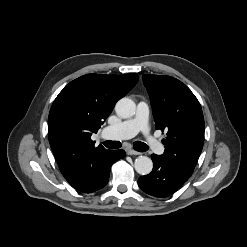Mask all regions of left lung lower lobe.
<instances>
[{
    "mask_svg": "<svg viewBox=\"0 0 247 247\" xmlns=\"http://www.w3.org/2000/svg\"><path fill=\"white\" fill-rule=\"evenodd\" d=\"M151 158L152 172L138 179L141 190L149 195L164 198L179 189L192 174L162 155L152 154Z\"/></svg>",
    "mask_w": 247,
    "mask_h": 247,
    "instance_id": "0a47b994",
    "label": "left lung lower lobe"
}]
</instances>
